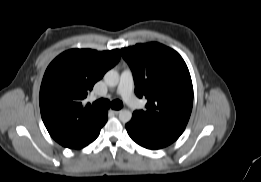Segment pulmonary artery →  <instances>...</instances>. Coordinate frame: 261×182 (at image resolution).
Returning <instances> with one entry per match:
<instances>
[{
    "label": "pulmonary artery",
    "instance_id": "pulmonary-artery-1",
    "mask_svg": "<svg viewBox=\"0 0 261 182\" xmlns=\"http://www.w3.org/2000/svg\"><path fill=\"white\" fill-rule=\"evenodd\" d=\"M134 78L130 69H125L120 76V81L117 87V94L130 106L137 104V98L133 93Z\"/></svg>",
    "mask_w": 261,
    "mask_h": 182
}]
</instances>
